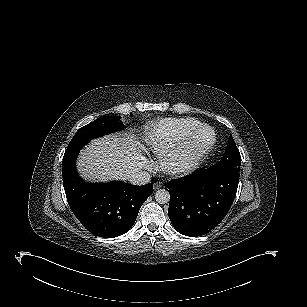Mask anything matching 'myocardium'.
Listing matches in <instances>:
<instances>
[{
    "label": "myocardium",
    "instance_id": "myocardium-1",
    "mask_svg": "<svg viewBox=\"0 0 307 307\" xmlns=\"http://www.w3.org/2000/svg\"><path fill=\"white\" fill-rule=\"evenodd\" d=\"M209 130L211 133L210 142L214 138V132L210 127L207 126H199L196 131L193 133V135L189 138H187L183 143H181L174 151L172 155L163 157L160 160V168L161 170L171 176H178L185 174L189 171H191L194 167L199 165L204 157V154L206 150L208 149L207 145H195L196 141L199 139V135L203 130ZM209 142V143H210ZM189 146H195L193 156L190 160H183L178 163L175 162V159L179 152Z\"/></svg>",
    "mask_w": 307,
    "mask_h": 307
}]
</instances>
